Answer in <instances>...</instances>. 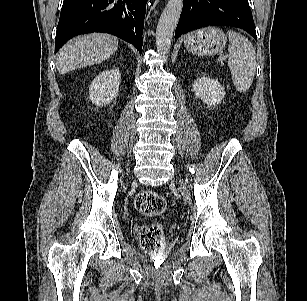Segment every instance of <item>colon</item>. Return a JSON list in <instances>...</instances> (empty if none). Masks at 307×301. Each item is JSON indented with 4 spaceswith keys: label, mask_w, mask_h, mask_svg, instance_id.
<instances>
[{
    "label": "colon",
    "mask_w": 307,
    "mask_h": 301,
    "mask_svg": "<svg viewBox=\"0 0 307 301\" xmlns=\"http://www.w3.org/2000/svg\"><path fill=\"white\" fill-rule=\"evenodd\" d=\"M135 207L140 214L155 217L164 212L166 201L159 193L144 190L137 194ZM139 236L142 248L151 254L159 253L164 247V230L159 224L143 225Z\"/></svg>",
    "instance_id": "colon-1"
}]
</instances>
